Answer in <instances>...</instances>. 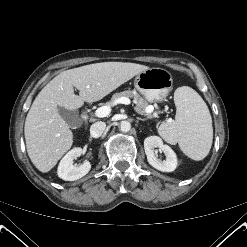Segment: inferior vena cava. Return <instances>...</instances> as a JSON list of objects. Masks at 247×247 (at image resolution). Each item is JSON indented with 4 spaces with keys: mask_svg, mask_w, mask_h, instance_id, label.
<instances>
[{
    "mask_svg": "<svg viewBox=\"0 0 247 247\" xmlns=\"http://www.w3.org/2000/svg\"><path fill=\"white\" fill-rule=\"evenodd\" d=\"M106 124L104 122H95L90 127V135L94 138L100 137L105 131Z\"/></svg>",
    "mask_w": 247,
    "mask_h": 247,
    "instance_id": "inferior-vena-cava-1",
    "label": "inferior vena cava"
}]
</instances>
